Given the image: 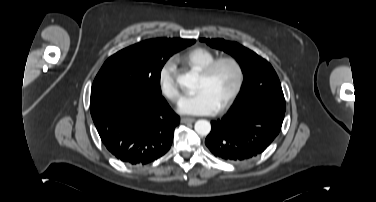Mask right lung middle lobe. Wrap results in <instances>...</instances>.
Returning <instances> with one entry per match:
<instances>
[{
	"instance_id": "obj_1",
	"label": "right lung middle lobe",
	"mask_w": 376,
	"mask_h": 202,
	"mask_svg": "<svg viewBox=\"0 0 376 202\" xmlns=\"http://www.w3.org/2000/svg\"><path fill=\"white\" fill-rule=\"evenodd\" d=\"M195 43L194 39L146 40L112 55L98 72L91 92L106 88H134L161 95L160 73L174 53Z\"/></svg>"
}]
</instances>
